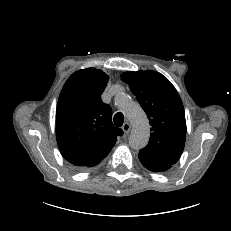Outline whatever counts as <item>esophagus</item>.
<instances>
[{"mask_svg":"<svg viewBox=\"0 0 231 231\" xmlns=\"http://www.w3.org/2000/svg\"><path fill=\"white\" fill-rule=\"evenodd\" d=\"M122 130L125 134H128L131 130V125L128 122L124 123V125L122 126Z\"/></svg>","mask_w":231,"mask_h":231,"instance_id":"1","label":"esophagus"}]
</instances>
